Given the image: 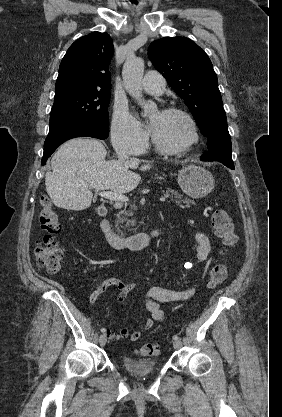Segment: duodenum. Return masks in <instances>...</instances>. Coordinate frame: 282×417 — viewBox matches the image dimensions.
<instances>
[{
  "label": "duodenum",
  "mask_w": 282,
  "mask_h": 417,
  "mask_svg": "<svg viewBox=\"0 0 282 417\" xmlns=\"http://www.w3.org/2000/svg\"><path fill=\"white\" fill-rule=\"evenodd\" d=\"M100 229L109 242L111 248L114 250H120L124 248L130 250L144 249L158 234V230H155L151 233L132 234L126 236L121 235L112 228L108 216L102 217L100 222Z\"/></svg>",
  "instance_id": "410a0bca"
}]
</instances>
